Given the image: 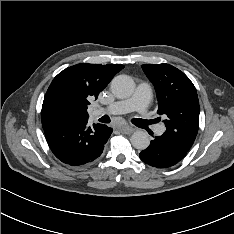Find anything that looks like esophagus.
<instances>
[{
    "mask_svg": "<svg viewBox=\"0 0 234 234\" xmlns=\"http://www.w3.org/2000/svg\"><path fill=\"white\" fill-rule=\"evenodd\" d=\"M120 131L125 134H131L134 131V128L130 125H125L124 127L120 128Z\"/></svg>",
    "mask_w": 234,
    "mask_h": 234,
    "instance_id": "1",
    "label": "esophagus"
}]
</instances>
